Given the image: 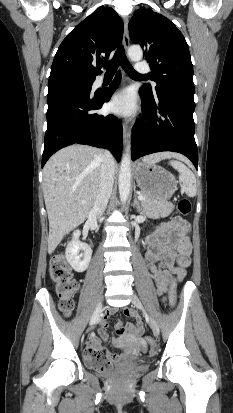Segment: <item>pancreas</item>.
Instances as JSON below:
<instances>
[{
	"label": "pancreas",
	"mask_w": 233,
	"mask_h": 413,
	"mask_svg": "<svg viewBox=\"0 0 233 413\" xmlns=\"http://www.w3.org/2000/svg\"><path fill=\"white\" fill-rule=\"evenodd\" d=\"M142 196L145 197V200L141 201L143 212L149 217H167L174 210V205L171 202L157 200L144 193Z\"/></svg>",
	"instance_id": "obj_1"
}]
</instances>
